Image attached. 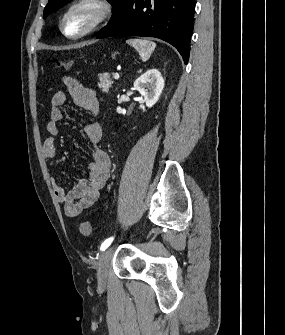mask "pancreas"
Returning <instances> with one entry per match:
<instances>
[{
    "mask_svg": "<svg viewBox=\"0 0 285 335\" xmlns=\"http://www.w3.org/2000/svg\"><path fill=\"white\" fill-rule=\"evenodd\" d=\"M99 76V82L98 86L102 92H109L112 84H114L113 80H111V74H98Z\"/></svg>",
    "mask_w": 285,
    "mask_h": 335,
    "instance_id": "1",
    "label": "pancreas"
}]
</instances>
